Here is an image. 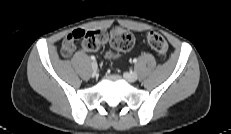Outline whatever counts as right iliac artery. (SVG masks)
Listing matches in <instances>:
<instances>
[{"instance_id":"1","label":"right iliac artery","mask_w":231,"mask_h":134,"mask_svg":"<svg viewBox=\"0 0 231 134\" xmlns=\"http://www.w3.org/2000/svg\"><path fill=\"white\" fill-rule=\"evenodd\" d=\"M91 59H92L93 61H95V56L92 55V56H91Z\"/></svg>"}]
</instances>
